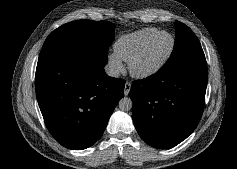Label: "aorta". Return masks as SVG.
I'll return each instance as SVG.
<instances>
[{"label": "aorta", "mask_w": 237, "mask_h": 169, "mask_svg": "<svg viewBox=\"0 0 237 169\" xmlns=\"http://www.w3.org/2000/svg\"><path fill=\"white\" fill-rule=\"evenodd\" d=\"M119 109L122 111H130L133 103L129 97H123L118 103Z\"/></svg>", "instance_id": "1"}]
</instances>
